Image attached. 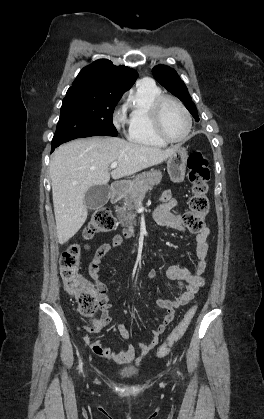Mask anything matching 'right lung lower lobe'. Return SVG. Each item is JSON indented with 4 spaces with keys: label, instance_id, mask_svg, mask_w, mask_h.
Wrapping results in <instances>:
<instances>
[{
    "label": "right lung lower lobe",
    "instance_id": "right-lung-lower-lobe-1",
    "mask_svg": "<svg viewBox=\"0 0 264 419\" xmlns=\"http://www.w3.org/2000/svg\"><path fill=\"white\" fill-rule=\"evenodd\" d=\"M89 136H95V135H83V136H80V137H78V138H82V137H89ZM59 146V145H58ZM58 146H52V151L51 152H53L54 151V149L56 148V147H58Z\"/></svg>",
    "mask_w": 264,
    "mask_h": 419
}]
</instances>
